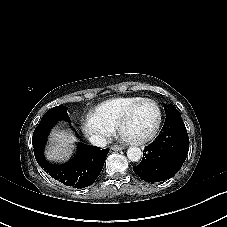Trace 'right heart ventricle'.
<instances>
[{"instance_id": "1", "label": "right heart ventricle", "mask_w": 227, "mask_h": 227, "mask_svg": "<svg viewBox=\"0 0 227 227\" xmlns=\"http://www.w3.org/2000/svg\"><path fill=\"white\" fill-rule=\"evenodd\" d=\"M140 102V98H114L99 105L91 116V121L99 127L111 130L125 112Z\"/></svg>"}]
</instances>
